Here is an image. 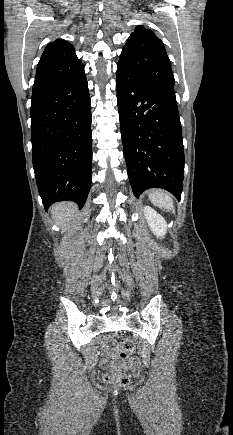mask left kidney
<instances>
[{
    "mask_svg": "<svg viewBox=\"0 0 233 435\" xmlns=\"http://www.w3.org/2000/svg\"><path fill=\"white\" fill-rule=\"evenodd\" d=\"M144 215L153 233L157 237L163 238L167 231V223L165 219L150 206L144 207Z\"/></svg>",
    "mask_w": 233,
    "mask_h": 435,
    "instance_id": "left-kidney-1",
    "label": "left kidney"
}]
</instances>
